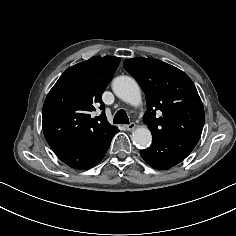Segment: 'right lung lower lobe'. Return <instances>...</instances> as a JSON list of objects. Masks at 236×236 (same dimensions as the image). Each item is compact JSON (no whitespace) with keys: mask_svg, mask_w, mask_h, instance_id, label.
<instances>
[{"mask_svg":"<svg viewBox=\"0 0 236 236\" xmlns=\"http://www.w3.org/2000/svg\"><path fill=\"white\" fill-rule=\"evenodd\" d=\"M119 130L112 129L99 139L86 142H59L50 144L57 157L74 169H87L95 166L105 156L113 136Z\"/></svg>","mask_w":236,"mask_h":236,"instance_id":"right-lung-lower-lobe-1","label":"right lung lower lobe"}]
</instances>
